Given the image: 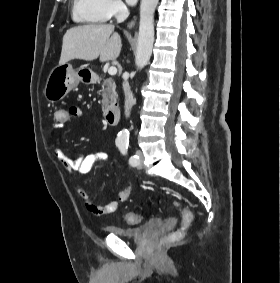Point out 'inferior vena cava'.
I'll list each match as a JSON object with an SVG mask.
<instances>
[{
    "mask_svg": "<svg viewBox=\"0 0 280 283\" xmlns=\"http://www.w3.org/2000/svg\"><path fill=\"white\" fill-rule=\"evenodd\" d=\"M123 90L125 95V115L128 117L134 104V98L127 80L123 81Z\"/></svg>",
    "mask_w": 280,
    "mask_h": 283,
    "instance_id": "obj_1",
    "label": "inferior vena cava"
}]
</instances>
